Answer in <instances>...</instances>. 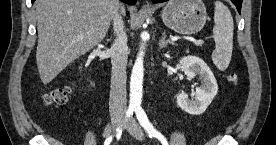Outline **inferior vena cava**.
<instances>
[{"mask_svg": "<svg viewBox=\"0 0 276 145\" xmlns=\"http://www.w3.org/2000/svg\"><path fill=\"white\" fill-rule=\"evenodd\" d=\"M113 26L116 38L111 46V90L109 110L111 116H122L126 112V65L128 57L127 35L118 10L113 17Z\"/></svg>", "mask_w": 276, "mask_h": 145, "instance_id": "obj_1", "label": "inferior vena cava"}]
</instances>
